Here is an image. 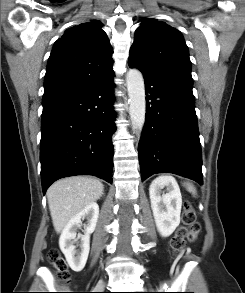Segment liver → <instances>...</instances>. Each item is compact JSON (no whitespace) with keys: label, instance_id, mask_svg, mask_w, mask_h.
Returning <instances> with one entry per match:
<instances>
[{"label":"liver","instance_id":"1","mask_svg":"<svg viewBox=\"0 0 245 293\" xmlns=\"http://www.w3.org/2000/svg\"><path fill=\"white\" fill-rule=\"evenodd\" d=\"M103 184L94 178L74 176L59 180L47 190L54 229L60 233L69 220L103 194Z\"/></svg>","mask_w":245,"mask_h":293}]
</instances>
